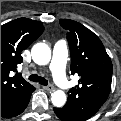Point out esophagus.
I'll return each mask as SVG.
<instances>
[{
  "label": "esophagus",
  "mask_w": 121,
  "mask_h": 121,
  "mask_svg": "<svg viewBox=\"0 0 121 121\" xmlns=\"http://www.w3.org/2000/svg\"><path fill=\"white\" fill-rule=\"evenodd\" d=\"M43 88L49 92L53 91V86L49 85V86H43Z\"/></svg>",
  "instance_id": "1"
}]
</instances>
